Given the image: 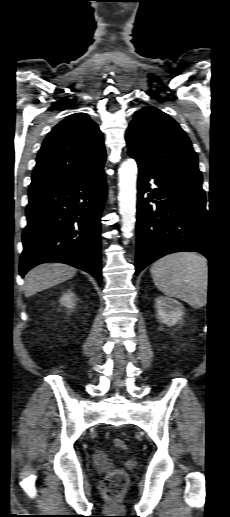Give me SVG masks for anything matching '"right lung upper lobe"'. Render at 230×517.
Returning <instances> with one entry per match:
<instances>
[{
	"label": "right lung upper lobe",
	"instance_id": "obj_1",
	"mask_svg": "<svg viewBox=\"0 0 230 517\" xmlns=\"http://www.w3.org/2000/svg\"><path fill=\"white\" fill-rule=\"evenodd\" d=\"M103 135L86 114H72L57 124L39 150L29 193L88 178L103 170Z\"/></svg>",
	"mask_w": 230,
	"mask_h": 517
}]
</instances>
